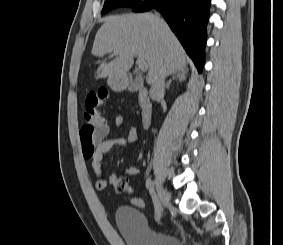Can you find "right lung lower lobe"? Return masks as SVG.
Wrapping results in <instances>:
<instances>
[{
	"instance_id": "obj_1",
	"label": "right lung lower lobe",
	"mask_w": 283,
	"mask_h": 245,
	"mask_svg": "<svg viewBox=\"0 0 283 245\" xmlns=\"http://www.w3.org/2000/svg\"><path fill=\"white\" fill-rule=\"evenodd\" d=\"M211 0H147L132 7L135 12L155 7L164 16L199 72L204 66L206 25Z\"/></svg>"
}]
</instances>
